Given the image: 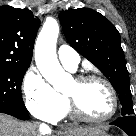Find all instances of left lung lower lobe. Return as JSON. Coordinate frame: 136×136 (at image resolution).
Returning <instances> with one entry per match:
<instances>
[{"label": "left lung lower lobe", "mask_w": 136, "mask_h": 136, "mask_svg": "<svg viewBox=\"0 0 136 136\" xmlns=\"http://www.w3.org/2000/svg\"><path fill=\"white\" fill-rule=\"evenodd\" d=\"M124 130L129 136H136L135 132V117L133 115H126L118 118L114 122L110 123Z\"/></svg>", "instance_id": "obj_1"}]
</instances>
